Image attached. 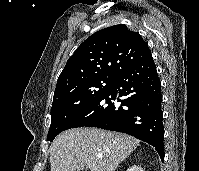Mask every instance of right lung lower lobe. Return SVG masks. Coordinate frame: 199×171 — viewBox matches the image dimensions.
<instances>
[{
	"label": "right lung lower lobe",
	"mask_w": 199,
	"mask_h": 171,
	"mask_svg": "<svg viewBox=\"0 0 199 171\" xmlns=\"http://www.w3.org/2000/svg\"><path fill=\"white\" fill-rule=\"evenodd\" d=\"M122 97V98H120ZM161 83L151 57L116 76L112 84L65 127H98L132 135L164 158Z\"/></svg>",
	"instance_id": "98d812e1"
}]
</instances>
